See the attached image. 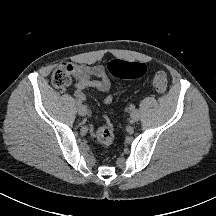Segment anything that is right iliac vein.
<instances>
[{"label":"right iliac vein","mask_w":216,"mask_h":216,"mask_svg":"<svg viewBox=\"0 0 216 216\" xmlns=\"http://www.w3.org/2000/svg\"><path fill=\"white\" fill-rule=\"evenodd\" d=\"M77 111H78V114L81 115V116H85L87 114V108L84 105H80L77 108Z\"/></svg>","instance_id":"obj_1"}]
</instances>
